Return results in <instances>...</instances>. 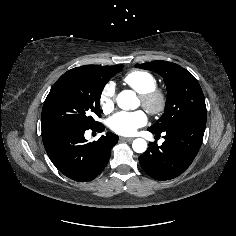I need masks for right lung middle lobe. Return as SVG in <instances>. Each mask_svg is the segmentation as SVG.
I'll return each mask as SVG.
<instances>
[{
  "instance_id": "dd1d6c3e",
  "label": "right lung middle lobe",
  "mask_w": 236,
  "mask_h": 236,
  "mask_svg": "<svg viewBox=\"0 0 236 236\" xmlns=\"http://www.w3.org/2000/svg\"><path fill=\"white\" fill-rule=\"evenodd\" d=\"M124 65H85L64 73L51 88L42 109V136L65 128L91 129L100 123V97L105 84Z\"/></svg>"
}]
</instances>
